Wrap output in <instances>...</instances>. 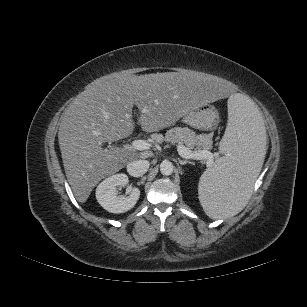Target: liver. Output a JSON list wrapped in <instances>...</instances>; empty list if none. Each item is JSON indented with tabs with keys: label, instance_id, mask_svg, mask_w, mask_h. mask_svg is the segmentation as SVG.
<instances>
[{
	"label": "liver",
	"instance_id": "6515ba94",
	"mask_svg": "<svg viewBox=\"0 0 307 307\" xmlns=\"http://www.w3.org/2000/svg\"><path fill=\"white\" fill-rule=\"evenodd\" d=\"M229 95L223 84L189 71L117 75L87 85L65 109L58 132L65 174L77 201L86 202L103 178L138 158L126 147L102 148V143L133 132L134 105L140 111L141 128L156 132L192 108Z\"/></svg>",
	"mask_w": 307,
	"mask_h": 307
}]
</instances>
